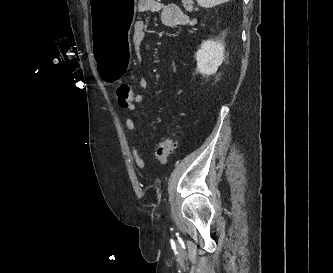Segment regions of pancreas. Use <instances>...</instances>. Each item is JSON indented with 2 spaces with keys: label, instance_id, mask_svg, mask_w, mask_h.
Instances as JSON below:
<instances>
[{
  "label": "pancreas",
  "instance_id": "obj_1",
  "mask_svg": "<svg viewBox=\"0 0 333 273\" xmlns=\"http://www.w3.org/2000/svg\"><path fill=\"white\" fill-rule=\"evenodd\" d=\"M182 3L187 11H192L193 10V1L192 0H182Z\"/></svg>",
  "mask_w": 333,
  "mask_h": 273
}]
</instances>
